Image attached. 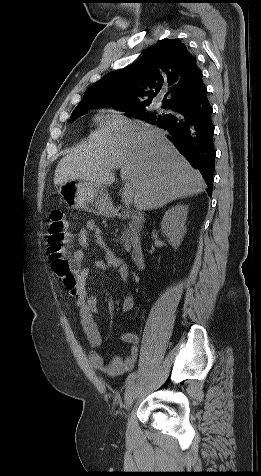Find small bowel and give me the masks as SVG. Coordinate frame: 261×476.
I'll return each mask as SVG.
<instances>
[{
	"instance_id": "small-bowel-1",
	"label": "small bowel",
	"mask_w": 261,
	"mask_h": 476,
	"mask_svg": "<svg viewBox=\"0 0 261 476\" xmlns=\"http://www.w3.org/2000/svg\"><path fill=\"white\" fill-rule=\"evenodd\" d=\"M90 234L93 235L96 244L104 251V257L95 261V267L99 270L115 269L119 274L120 280L126 285L129 283L130 271L128 265L107 246L103 233L97 223L92 219H88L85 222L84 228L77 235V242L81 248L74 251L71 257V262L74 264L77 272V285L74 290L68 291L76 298L80 323L92 347L89 353L91 365L109 377H118L130 372L134 368L139 356V337L135 332H124L122 340L129 345V351L124 358L114 357L109 363H106L102 355L97 351L103 344L100 328L95 321V315L98 313V297L96 295H87L86 280L89 275V268L82 267L86 250L90 247ZM133 303L132 294L127 292L121 303L122 310H131Z\"/></svg>"
}]
</instances>
